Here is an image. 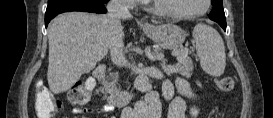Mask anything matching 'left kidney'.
<instances>
[{"label": "left kidney", "mask_w": 273, "mask_h": 118, "mask_svg": "<svg viewBox=\"0 0 273 118\" xmlns=\"http://www.w3.org/2000/svg\"><path fill=\"white\" fill-rule=\"evenodd\" d=\"M199 113V110H197L195 107L194 108H191L190 110V114L193 116V117H196Z\"/></svg>", "instance_id": "left-kidney-1"}]
</instances>
